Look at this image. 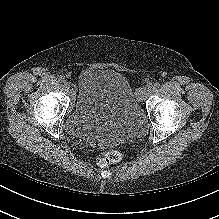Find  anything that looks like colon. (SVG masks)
Instances as JSON below:
<instances>
[{"instance_id":"colon-1","label":"colon","mask_w":219,"mask_h":219,"mask_svg":"<svg viewBox=\"0 0 219 219\" xmlns=\"http://www.w3.org/2000/svg\"><path fill=\"white\" fill-rule=\"evenodd\" d=\"M121 160H122V154L117 150H111L103 153L98 158V165L102 168H106L113 164L119 163Z\"/></svg>"}]
</instances>
